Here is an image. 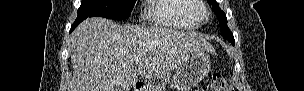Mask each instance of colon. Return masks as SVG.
I'll list each match as a JSON object with an SVG mask.
<instances>
[{"label":"colon","instance_id":"5ec220e1","mask_svg":"<svg viewBox=\"0 0 304 91\" xmlns=\"http://www.w3.org/2000/svg\"><path fill=\"white\" fill-rule=\"evenodd\" d=\"M210 90L212 91H231L233 90L228 84L224 76L220 74H215L212 79V84Z\"/></svg>","mask_w":304,"mask_h":91}]
</instances>
